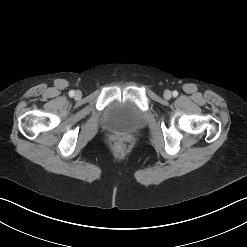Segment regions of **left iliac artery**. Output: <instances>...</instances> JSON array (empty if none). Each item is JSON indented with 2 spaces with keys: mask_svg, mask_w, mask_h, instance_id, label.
I'll return each mask as SVG.
<instances>
[{
  "mask_svg": "<svg viewBox=\"0 0 247 247\" xmlns=\"http://www.w3.org/2000/svg\"><path fill=\"white\" fill-rule=\"evenodd\" d=\"M173 96L177 97L178 96V92L177 91H173Z\"/></svg>",
  "mask_w": 247,
  "mask_h": 247,
  "instance_id": "1",
  "label": "left iliac artery"
}]
</instances>
